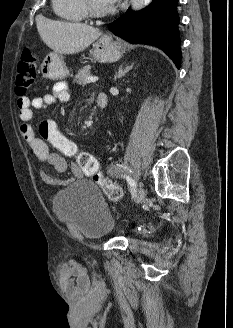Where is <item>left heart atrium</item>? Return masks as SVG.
Listing matches in <instances>:
<instances>
[{
  "label": "left heart atrium",
  "instance_id": "left-heart-atrium-1",
  "mask_svg": "<svg viewBox=\"0 0 233 328\" xmlns=\"http://www.w3.org/2000/svg\"><path fill=\"white\" fill-rule=\"evenodd\" d=\"M105 3H107L110 6L115 5L116 3L119 2V0H103Z\"/></svg>",
  "mask_w": 233,
  "mask_h": 328
}]
</instances>
